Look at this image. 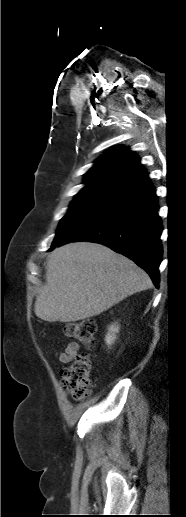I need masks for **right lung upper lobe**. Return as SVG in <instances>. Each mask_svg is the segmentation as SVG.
<instances>
[{
	"label": "right lung upper lobe",
	"mask_w": 186,
	"mask_h": 517,
	"mask_svg": "<svg viewBox=\"0 0 186 517\" xmlns=\"http://www.w3.org/2000/svg\"><path fill=\"white\" fill-rule=\"evenodd\" d=\"M135 152L113 147L96 160L86 173V186L75 196L118 202L151 186L146 170Z\"/></svg>",
	"instance_id": "cb5924a9"
}]
</instances>
